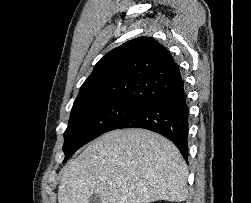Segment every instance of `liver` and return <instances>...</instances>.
<instances>
[{"label":"liver","instance_id":"1","mask_svg":"<svg viewBox=\"0 0 251 203\" xmlns=\"http://www.w3.org/2000/svg\"><path fill=\"white\" fill-rule=\"evenodd\" d=\"M188 169L179 150L145 129L110 131L61 172L59 203H152L186 199Z\"/></svg>","mask_w":251,"mask_h":203}]
</instances>
